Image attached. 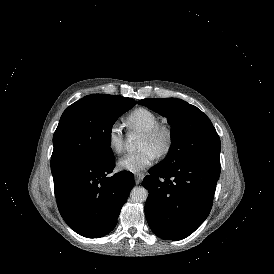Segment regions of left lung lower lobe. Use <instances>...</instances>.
<instances>
[{"label":"left lung lower lobe","mask_w":274,"mask_h":274,"mask_svg":"<svg viewBox=\"0 0 274 274\" xmlns=\"http://www.w3.org/2000/svg\"><path fill=\"white\" fill-rule=\"evenodd\" d=\"M220 160L193 159L149 170L142 185L149 191L145 216L151 230L167 240L192 234L210 213Z\"/></svg>","instance_id":"1"}]
</instances>
